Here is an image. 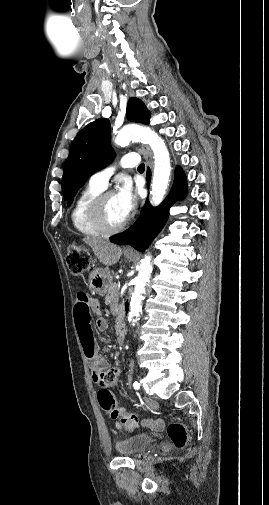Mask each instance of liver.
I'll return each mask as SVG.
<instances>
[{"mask_svg": "<svg viewBox=\"0 0 269 505\" xmlns=\"http://www.w3.org/2000/svg\"><path fill=\"white\" fill-rule=\"evenodd\" d=\"M83 241L92 248L98 260L107 267L116 264L122 255V249L107 240L85 237Z\"/></svg>", "mask_w": 269, "mask_h": 505, "instance_id": "liver-1", "label": "liver"}]
</instances>
